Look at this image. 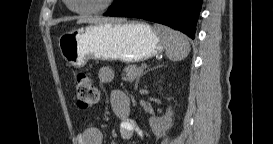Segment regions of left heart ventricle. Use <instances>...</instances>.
I'll use <instances>...</instances> for the list:
<instances>
[{
    "mask_svg": "<svg viewBox=\"0 0 273 144\" xmlns=\"http://www.w3.org/2000/svg\"><path fill=\"white\" fill-rule=\"evenodd\" d=\"M103 0H72V5L76 9H84L95 7Z\"/></svg>",
    "mask_w": 273,
    "mask_h": 144,
    "instance_id": "b2bd125f",
    "label": "left heart ventricle"
}]
</instances>
